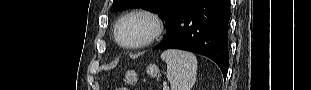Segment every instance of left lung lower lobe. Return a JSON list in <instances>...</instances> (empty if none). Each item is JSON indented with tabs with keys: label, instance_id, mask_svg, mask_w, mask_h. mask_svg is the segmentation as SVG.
<instances>
[{
	"label": "left lung lower lobe",
	"instance_id": "0a47b994",
	"mask_svg": "<svg viewBox=\"0 0 311 90\" xmlns=\"http://www.w3.org/2000/svg\"><path fill=\"white\" fill-rule=\"evenodd\" d=\"M229 0H196L153 49H181L212 59L226 78L229 63Z\"/></svg>",
	"mask_w": 311,
	"mask_h": 90
}]
</instances>
